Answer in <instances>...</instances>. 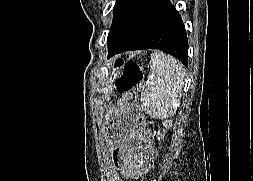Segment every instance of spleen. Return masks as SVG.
Here are the masks:
<instances>
[{"label":"spleen","mask_w":253,"mask_h":181,"mask_svg":"<svg viewBox=\"0 0 253 181\" xmlns=\"http://www.w3.org/2000/svg\"><path fill=\"white\" fill-rule=\"evenodd\" d=\"M184 76L185 68L177 59L163 52L152 53L140 98L145 113L160 119L173 116L182 96Z\"/></svg>","instance_id":"obj_1"}]
</instances>
